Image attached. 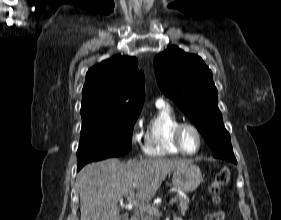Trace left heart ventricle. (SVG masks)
Masks as SVG:
<instances>
[{
	"label": "left heart ventricle",
	"mask_w": 281,
	"mask_h": 220,
	"mask_svg": "<svg viewBox=\"0 0 281 220\" xmlns=\"http://www.w3.org/2000/svg\"><path fill=\"white\" fill-rule=\"evenodd\" d=\"M182 142L184 148L189 152H193L197 149L198 139L196 134L191 129H185L183 131Z\"/></svg>",
	"instance_id": "1"
}]
</instances>
